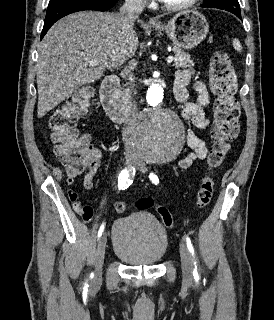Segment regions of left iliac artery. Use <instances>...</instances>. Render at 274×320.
<instances>
[{
  "mask_svg": "<svg viewBox=\"0 0 274 320\" xmlns=\"http://www.w3.org/2000/svg\"><path fill=\"white\" fill-rule=\"evenodd\" d=\"M149 178L152 181V183H154V184H158L159 183V179L155 174L150 173ZM186 244H187L188 250L190 251L191 255L193 256V263H194L193 276H194L195 279H198L199 278V274H198V270H197V263H196L195 258H194V248H193L191 240H190V238L188 236H186Z\"/></svg>",
  "mask_w": 274,
  "mask_h": 320,
  "instance_id": "obj_1",
  "label": "left iliac artery"
}]
</instances>
